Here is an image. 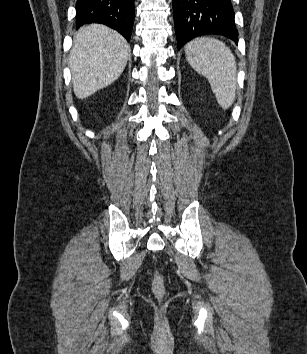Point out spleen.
Masks as SVG:
<instances>
[{"label": "spleen", "mask_w": 307, "mask_h": 354, "mask_svg": "<svg viewBox=\"0 0 307 354\" xmlns=\"http://www.w3.org/2000/svg\"><path fill=\"white\" fill-rule=\"evenodd\" d=\"M188 63L205 76L216 96L218 104L228 109L236 97V61L231 50L211 37H197L186 44Z\"/></svg>", "instance_id": "spleen-1"}]
</instances>
